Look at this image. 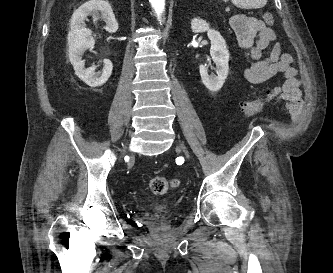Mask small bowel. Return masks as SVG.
Returning <instances> with one entry per match:
<instances>
[{"instance_id": "small-bowel-1", "label": "small bowel", "mask_w": 333, "mask_h": 273, "mask_svg": "<svg viewBox=\"0 0 333 273\" xmlns=\"http://www.w3.org/2000/svg\"><path fill=\"white\" fill-rule=\"evenodd\" d=\"M231 27L249 63L242 71L249 83H264L279 73L284 76L281 84L266 93L264 103L277 101L290 111L299 107L301 91L297 71L292 65L293 59L290 54L282 53L280 44L276 42V34L269 24L247 14H236L231 18ZM272 42L275 43L271 52L265 55L264 51Z\"/></svg>"}]
</instances>
